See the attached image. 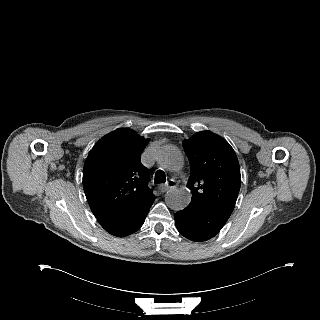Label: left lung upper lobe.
<instances>
[{"label":"left lung upper lobe","instance_id":"5c2ea615","mask_svg":"<svg viewBox=\"0 0 320 320\" xmlns=\"http://www.w3.org/2000/svg\"><path fill=\"white\" fill-rule=\"evenodd\" d=\"M190 162L192 200L232 213L241 185L237 156L220 136L203 131L183 141Z\"/></svg>","mask_w":320,"mask_h":320}]
</instances>
